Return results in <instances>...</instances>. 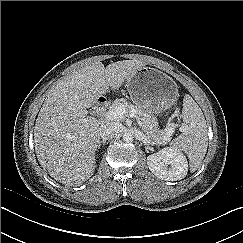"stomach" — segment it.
Listing matches in <instances>:
<instances>
[{
  "label": "stomach",
  "instance_id": "1",
  "mask_svg": "<svg viewBox=\"0 0 243 243\" xmlns=\"http://www.w3.org/2000/svg\"><path fill=\"white\" fill-rule=\"evenodd\" d=\"M133 103L144 110L159 114L169 109L178 98L174 80L162 71L143 66L126 81Z\"/></svg>",
  "mask_w": 243,
  "mask_h": 243
}]
</instances>
